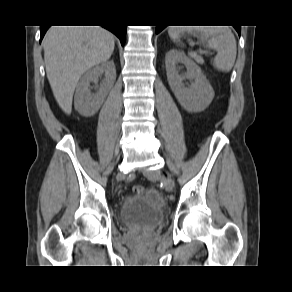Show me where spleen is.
<instances>
[{
	"instance_id": "obj_1",
	"label": "spleen",
	"mask_w": 292,
	"mask_h": 292,
	"mask_svg": "<svg viewBox=\"0 0 292 292\" xmlns=\"http://www.w3.org/2000/svg\"><path fill=\"white\" fill-rule=\"evenodd\" d=\"M185 33L198 37L200 42L209 49L217 52L213 59V66L223 72H229L236 60V40L228 28L220 27H176L168 29V34L174 42Z\"/></svg>"
}]
</instances>
